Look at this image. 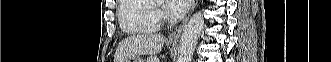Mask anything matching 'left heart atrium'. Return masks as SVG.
I'll return each mask as SVG.
<instances>
[{
  "instance_id": "39dd6f15",
  "label": "left heart atrium",
  "mask_w": 331,
  "mask_h": 62,
  "mask_svg": "<svg viewBox=\"0 0 331 62\" xmlns=\"http://www.w3.org/2000/svg\"><path fill=\"white\" fill-rule=\"evenodd\" d=\"M166 2L169 12L178 15L188 10L191 0H168Z\"/></svg>"
}]
</instances>
